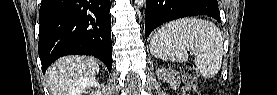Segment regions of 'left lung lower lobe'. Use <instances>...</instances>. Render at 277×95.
<instances>
[{"label":"left lung lower lobe","mask_w":277,"mask_h":95,"mask_svg":"<svg viewBox=\"0 0 277 95\" xmlns=\"http://www.w3.org/2000/svg\"><path fill=\"white\" fill-rule=\"evenodd\" d=\"M193 15H208L219 21L217 0H147L145 37L167 21Z\"/></svg>","instance_id":"1"}]
</instances>
